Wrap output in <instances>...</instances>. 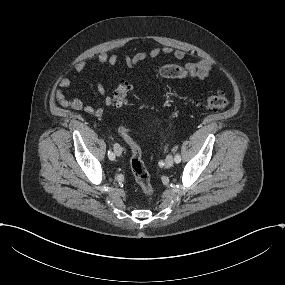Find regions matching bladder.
<instances>
[{
	"instance_id": "1",
	"label": "bladder",
	"mask_w": 285,
	"mask_h": 285,
	"mask_svg": "<svg viewBox=\"0 0 285 285\" xmlns=\"http://www.w3.org/2000/svg\"><path fill=\"white\" fill-rule=\"evenodd\" d=\"M142 133H144L145 135H148V131L147 130H143L142 129Z\"/></svg>"
}]
</instances>
